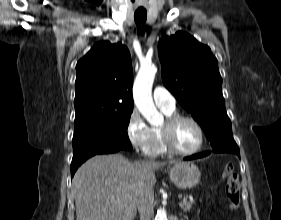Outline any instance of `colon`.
<instances>
[{
    "label": "colon",
    "instance_id": "obj_1",
    "mask_svg": "<svg viewBox=\"0 0 281 220\" xmlns=\"http://www.w3.org/2000/svg\"><path fill=\"white\" fill-rule=\"evenodd\" d=\"M222 176L226 179L225 194L229 208L233 211L237 210L240 206V183L233 163L225 165Z\"/></svg>",
    "mask_w": 281,
    "mask_h": 220
}]
</instances>
